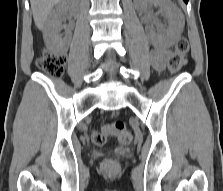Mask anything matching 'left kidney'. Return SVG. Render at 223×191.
<instances>
[{
    "label": "left kidney",
    "mask_w": 223,
    "mask_h": 191,
    "mask_svg": "<svg viewBox=\"0 0 223 191\" xmlns=\"http://www.w3.org/2000/svg\"><path fill=\"white\" fill-rule=\"evenodd\" d=\"M137 9L141 12L150 7H159L167 21L166 28L159 26L157 30L149 26L148 36L156 46L169 47L175 43L183 28V16L181 11L169 0H136Z\"/></svg>",
    "instance_id": "left-kidney-1"
}]
</instances>
